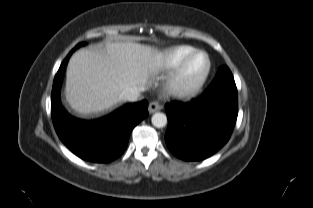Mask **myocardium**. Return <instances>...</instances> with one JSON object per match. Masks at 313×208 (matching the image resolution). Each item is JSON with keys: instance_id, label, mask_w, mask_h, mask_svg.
Listing matches in <instances>:
<instances>
[{"instance_id": "f54148a6", "label": "myocardium", "mask_w": 313, "mask_h": 208, "mask_svg": "<svg viewBox=\"0 0 313 208\" xmlns=\"http://www.w3.org/2000/svg\"><path fill=\"white\" fill-rule=\"evenodd\" d=\"M203 57L204 64L193 80H187L190 65L197 57ZM211 68L208 55L203 51H194L169 75L165 83L168 95L177 98H188L196 95L206 82Z\"/></svg>"}]
</instances>
